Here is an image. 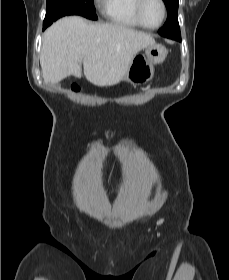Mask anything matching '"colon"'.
<instances>
[{
	"label": "colon",
	"instance_id": "colon-1",
	"mask_svg": "<svg viewBox=\"0 0 229 280\" xmlns=\"http://www.w3.org/2000/svg\"><path fill=\"white\" fill-rule=\"evenodd\" d=\"M73 91H74V92H80V91H81V87L78 86V85H74V86H73Z\"/></svg>",
	"mask_w": 229,
	"mask_h": 280
}]
</instances>
